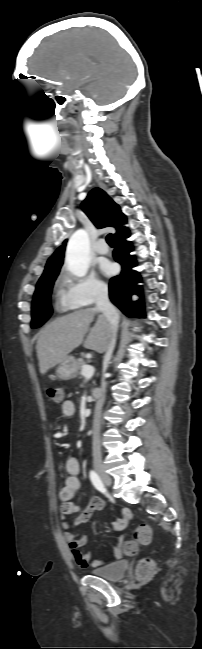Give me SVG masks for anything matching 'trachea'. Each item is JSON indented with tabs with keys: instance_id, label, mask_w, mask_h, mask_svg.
<instances>
[{
	"instance_id": "1",
	"label": "trachea",
	"mask_w": 202,
	"mask_h": 649,
	"mask_svg": "<svg viewBox=\"0 0 202 649\" xmlns=\"http://www.w3.org/2000/svg\"><path fill=\"white\" fill-rule=\"evenodd\" d=\"M106 241L109 245H113V237L111 234H108L106 237Z\"/></svg>"
}]
</instances>
